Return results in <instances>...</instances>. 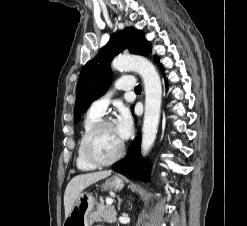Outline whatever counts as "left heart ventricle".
I'll return each mask as SVG.
<instances>
[{
	"label": "left heart ventricle",
	"mask_w": 247,
	"mask_h": 226,
	"mask_svg": "<svg viewBox=\"0 0 247 226\" xmlns=\"http://www.w3.org/2000/svg\"><path fill=\"white\" fill-rule=\"evenodd\" d=\"M123 141L119 137L115 126L101 129L91 140L90 150L100 159L107 160L115 156L122 146Z\"/></svg>",
	"instance_id": "left-heart-ventricle-1"
}]
</instances>
